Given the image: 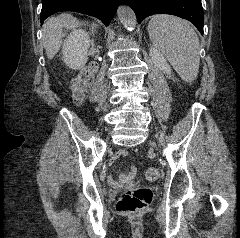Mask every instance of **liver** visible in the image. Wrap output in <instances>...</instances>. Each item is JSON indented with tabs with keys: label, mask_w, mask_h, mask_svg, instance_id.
Masks as SVG:
<instances>
[{
	"label": "liver",
	"mask_w": 240,
	"mask_h": 238,
	"mask_svg": "<svg viewBox=\"0 0 240 238\" xmlns=\"http://www.w3.org/2000/svg\"><path fill=\"white\" fill-rule=\"evenodd\" d=\"M80 25L82 24L70 14L50 18L43 25V45L49 59H52L61 47L65 36L63 29H74Z\"/></svg>",
	"instance_id": "1"
}]
</instances>
